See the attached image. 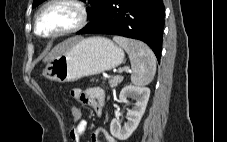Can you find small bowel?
<instances>
[{"instance_id":"obj_1","label":"small bowel","mask_w":227,"mask_h":142,"mask_svg":"<svg viewBox=\"0 0 227 142\" xmlns=\"http://www.w3.org/2000/svg\"><path fill=\"white\" fill-rule=\"evenodd\" d=\"M72 97L86 105L91 106L98 116L102 115L105 93L97 87L81 89L75 88L71 91ZM87 122L84 120L80 125L73 126L69 131V137L72 142H81V138L86 130ZM103 135L107 142H117L109 133L102 129L96 130L92 136V142H100L99 138Z\"/></svg>"}]
</instances>
